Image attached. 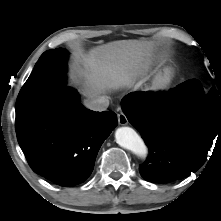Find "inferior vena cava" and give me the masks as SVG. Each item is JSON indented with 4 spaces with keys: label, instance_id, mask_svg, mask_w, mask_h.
I'll return each instance as SVG.
<instances>
[{
    "label": "inferior vena cava",
    "instance_id": "inferior-vena-cava-1",
    "mask_svg": "<svg viewBox=\"0 0 221 221\" xmlns=\"http://www.w3.org/2000/svg\"><path fill=\"white\" fill-rule=\"evenodd\" d=\"M85 107L93 111H104L109 106V99L105 96H97L84 102Z\"/></svg>",
    "mask_w": 221,
    "mask_h": 221
}]
</instances>
